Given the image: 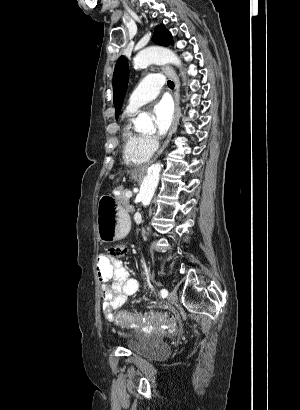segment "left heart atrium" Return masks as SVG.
Here are the masks:
<instances>
[{"label": "left heart atrium", "mask_w": 300, "mask_h": 410, "mask_svg": "<svg viewBox=\"0 0 300 410\" xmlns=\"http://www.w3.org/2000/svg\"><path fill=\"white\" fill-rule=\"evenodd\" d=\"M153 114L157 134L159 136L165 135L173 121V107L171 103L166 99L157 102L153 107Z\"/></svg>", "instance_id": "obj_1"}]
</instances>
